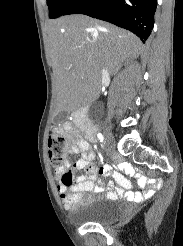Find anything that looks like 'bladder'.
I'll return each mask as SVG.
<instances>
[{"label":"bladder","mask_w":183,"mask_h":246,"mask_svg":"<svg viewBox=\"0 0 183 246\" xmlns=\"http://www.w3.org/2000/svg\"><path fill=\"white\" fill-rule=\"evenodd\" d=\"M122 212V207L116 201L108 199L93 200L88 209L76 217V220L84 223L105 224L116 219Z\"/></svg>","instance_id":"bladder-1"}]
</instances>
